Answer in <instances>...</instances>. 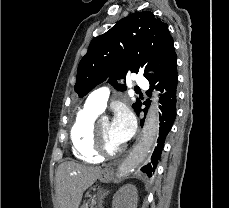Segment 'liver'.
I'll return each instance as SVG.
<instances>
[{
  "mask_svg": "<svg viewBox=\"0 0 229 208\" xmlns=\"http://www.w3.org/2000/svg\"><path fill=\"white\" fill-rule=\"evenodd\" d=\"M101 168H91L76 162H63L56 172V196L59 208H79L83 192L101 174Z\"/></svg>",
  "mask_w": 229,
  "mask_h": 208,
  "instance_id": "6515ba94",
  "label": "liver"
}]
</instances>
